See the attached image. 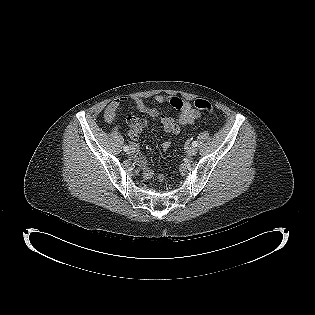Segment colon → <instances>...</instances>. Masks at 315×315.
I'll return each mask as SVG.
<instances>
[{
	"label": "colon",
	"mask_w": 315,
	"mask_h": 315,
	"mask_svg": "<svg viewBox=\"0 0 315 315\" xmlns=\"http://www.w3.org/2000/svg\"><path fill=\"white\" fill-rule=\"evenodd\" d=\"M194 105L198 110H201V111H204L208 114L214 115L213 105L208 100L196 99L194 102ZM141 121H142L141 119L136 118L134 116L128 117V122L130 124L129 133L134 134L136 132V130L139 128V126L141 125ZM158 179L160 182H162L165 180V176L159 175Z\"/></svg>",
	"instance_id": "obj_1"
}]
</instances>
